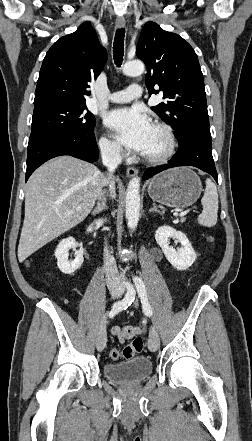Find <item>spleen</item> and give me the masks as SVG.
Returning <instances> with one entry per match:
<instances>
[{
    "instance_id": "obj_1",
    "label": "spleen",
    "mask_w": 252,
    "mask_h": 441,
    "mask_svg": "<svg viewBox=\"0 0 252 441\" xmlns=\"http://www.w3.org/2000/svg\"><path fill=\"white\" fill-rule=\"evenodd\" d=\"M201 204L203 211L197 218L198 223L206 227L216 225L218 217V193L211 179L206 180V188L204 196L201 199Z\"/></svg>"
}]
</instances>
